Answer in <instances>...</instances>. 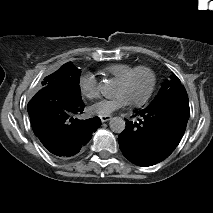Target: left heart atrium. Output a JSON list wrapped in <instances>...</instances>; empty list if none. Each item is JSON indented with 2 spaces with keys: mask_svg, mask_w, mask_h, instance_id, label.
Instances as JSON below:
<instances>
[{
  "mask_svg": "<svg viewBox=\"0 0 213 213\" xmlns=\"http://www.w3.org/2000/svg\"><path fill=\"white\" fill-rule=\"evenodd\" d=\"M127 99L122 95L113 96L93 105L92 110L101 115H108L126 106Z\"/></svg>",
  "mask_w": 213,
  "mask_h": 213,
  "instance_id": "left-heart-atrium-1",
  "label": "left heart atrium"
}]
</instances>
